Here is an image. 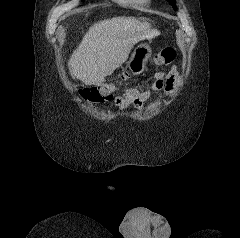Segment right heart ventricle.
I'll return each mask as SVG.
<instances>
[{
    "instance_id": "right-heart-ventricle-1",
    "label": "right heart ventricle",
    "mask_w": 240,
    "mask_h": 238,
    "mask_svg": "<svg viewBox=\"0 0 240 238\" xmlns=\"http://www.w3.org/2000/svg\"><path fill=\"white\" fill-rule=\"evenodd\" d=\"M122 6H142L148 3L149 0H112Z\"/></svg>"
}]
</instances>
